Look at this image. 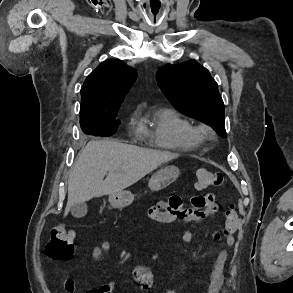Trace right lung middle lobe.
<instances>
[{
    "label": "right lung middle lobe",
    "instance_id": "obj_1",
    "mask_svg": "<svg viewBox=\"0 0 293 293\" xmlns=\"http://www.w3.org/2000/svg\"><path fill=\"white\" fill-rule=\"evenodd\" d=\"M117 112L104 115H80L82 131L87 135L109 136L117 131L120 121Z\"/></svg>",
    "mask_w": 293,
    "mask_h": 293
}]
</instances>
